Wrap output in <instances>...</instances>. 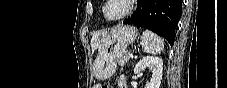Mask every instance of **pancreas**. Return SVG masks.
<instances>
[{"instance_id": "pancreas-1", "label": "pancreas", "mask_w": 227, "mask_h": 88, "mask_svg": "<svg viewBox=\"0 0 227 88\" xmlns=\"http://www.w3.org/2000/svg\"><path fill=\"white\" fill-rule=\"evenodd\" d=\"M129 56L126 54L123 57H121L118 62L120 65H124L125 63H127L129 61Z\"/></svg>"}]
</instances>
